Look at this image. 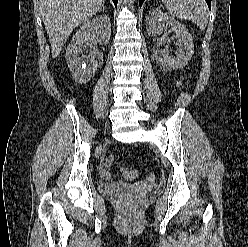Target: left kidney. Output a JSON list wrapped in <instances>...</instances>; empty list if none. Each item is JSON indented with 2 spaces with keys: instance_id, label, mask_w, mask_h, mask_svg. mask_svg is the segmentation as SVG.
Masks as SVG:
<instances>
[{
  "instance_id": "left-kidney-1",
  "label": "left kidney",
  "mask_w": 248,
  "mask_h": 247,
  "mask_svg": "<svg viewBox=\"0 0 248 247\" xmlns=\"http://www.w3.org/2000/svg\"><path fill=\"white\" fill-rule=\"evenodd\" d=\"M146 23L147 32L150 36L160 35L164 25L171 26L172 31L175 33L173 38L177 40L178 45L175 56H169L167 49L157 52L156 60L161 68L170 71L185 66L194 54L193 39L185 25L164 14L158 8L148 14Z\"/></svg>"
}]
</instances>
